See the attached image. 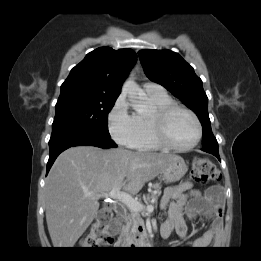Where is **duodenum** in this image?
I'll return each mask as SVG.
<instances>
[{
	"label": "duodenum",
	"mask_w": 261,
	"mask_h": 261,
	"mask_svg": "<svg viewBox=\"0 0 261 261\" xmlns=\"http://www.w3.org/2000/svg\"><path fill=\"white\" fill-rule=\"evenodd\" d=\"M118 214L119 217L115 218L114 220H111L110 223L107 225L105 233L108 234L107 242L108 243H114L113 236L117 234L121 228L122 225V216L124 214V210L122 208H118ZM148 243V237L146 233L140 232L132 237L130 245H147Z\"/></svg>",
	"instance_id": "410a0bca"
}]
</instances>
